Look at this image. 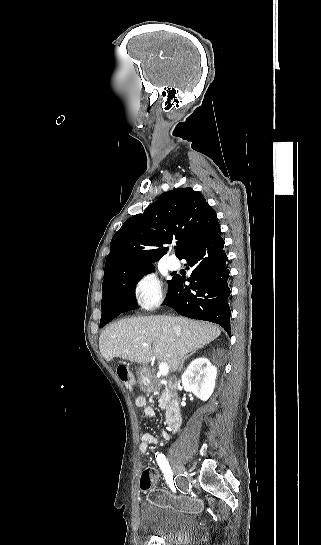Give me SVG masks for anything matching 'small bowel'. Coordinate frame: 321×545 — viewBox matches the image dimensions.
<instances>
[{
    "label": "small bowel",
    "mask_w": 321,
    "mask_h": 545,
    "mask_svg": "<svg viewBox=\"0 0 321 545\" xmlns=\"http://www.w3.org/2000/svg\"><path fill=\"white\" fill-rule=\"evenodd\" d=\"M135 404L137 407L144 409L145 415L150 417L155 415L154 409L147 405V399L145 396H142V395L137 396L135 399ZM163 437L164 439L168 440L170 439L171 435L167 432H164ZM157 443H159V441L156 436H154L153 434L149 432H143L140 435V445H139V450L141 454H145L150 445L157 444ZM150 471L155 482L158 479V473L156 470H153V469H150Z\"/></svg>",
    "instance_id": "small-bowel-1"
}]
</instances>
